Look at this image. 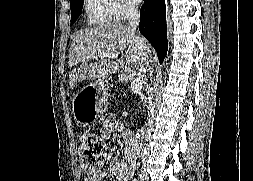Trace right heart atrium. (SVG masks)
Here are the masks:
<instances>
[{
	"instance_id": "right-heart-atrium-1",
	"label": "right heart atrium",
	"mask_w": 253,
	"mask_h": 181,
	"mask_svg": "<svg viewBox=\"0 0 253 181\" xmlns=\"http://www.w3.org/2000/svg\"><path fill=\"white\" fill-rule=\"evenodd\" d=\"M113 16L116 19H124L137 11L134 0H111Z\"/></svg>"
}]
</instances>
